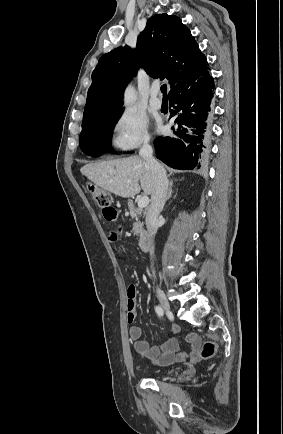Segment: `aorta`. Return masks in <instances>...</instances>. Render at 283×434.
Instances as JSON below:
<instances>
[{
    "mask_svg": "<svg viewBox=\"0 0 283 434\" xmlns=\"http://www.w3.org/2000/svg\"><path fill=\"white\" fill-rule=\"evenodd\" d=\"M136 100V94L134 89L130 86L126 89L124 93V104L131 106Z\"/></svg>",
    "mask_w": 283,
    "mask_h": 434,
    "instance_id": "1",
    "label": "aorta"
}]
</instances>
